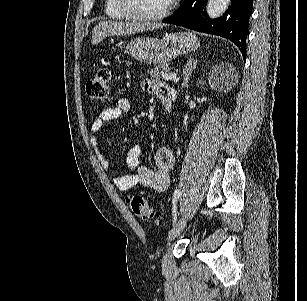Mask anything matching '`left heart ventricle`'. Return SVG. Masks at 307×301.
Wrapping results in <instances>:
<instances>
[{"mask_svg":"<svg viewBox=\"0 0 307 301\" xmlns=\"http://www.w3.org/2000/svg\"><path fill=\"white\" fill-rule=\"evenodd\" d=\"M129 2L134 4V7L129 9V13H154V11H161L164 4V0H135Z\"/></svg>","mask_w":307,"mask_h":301,"instance_id":"left-heart-ventricle-1","label":"left heart ventricle"}]
</instances>
